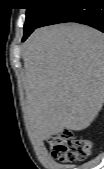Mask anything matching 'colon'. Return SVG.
Listing matches in <instances>:
<instances>
[{
	"label": "colon",
	"instance_id": "obj_1",
	"mask_svg": "<svg viewBox=\"0 0 104 169\" xmlns=\"http://www.w3.org/2000/svg\"><path fill=\"white\" fill-rule=\"evenodd\" d=\"M48 142L52 156L61 162L83 160L91 153V142L85 138H76L69 130L49 138Z\"/></svg>",
	"mask_w": 104,
	"mask_h": 169
}]
</instances>
